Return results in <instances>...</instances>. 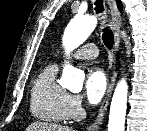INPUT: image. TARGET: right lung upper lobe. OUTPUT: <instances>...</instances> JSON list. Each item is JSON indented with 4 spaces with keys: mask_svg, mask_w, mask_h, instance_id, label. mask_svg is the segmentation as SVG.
Masks as SVG:
<instances>
[{
    "mask_svg": "<svg viewBox=\"0 0 147 131\" xmlns=\"http://www.w3.org/2000/svg\"><path fill=\"white\" fill-rule=\"evenodd\" d=\"M117 5H118V8L121 10L122 9V3L120 0H117Z\"/></svg>",
    "mask_w": 147,
    "mask_h": 131,
    "instance_id": "cb5924a9",
    "label": "right lung upper lobe"
}]
</instances>
